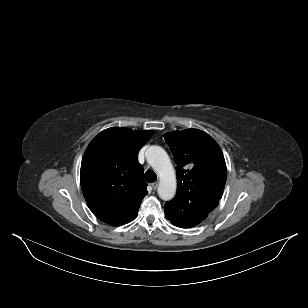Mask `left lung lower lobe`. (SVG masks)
<instances>
[{
    "instance_id": "obj_1",
    "label": "left lung lower lobe",
    "mask_w": 308,
    "mask_h": 308,
    "mask_svg": "<svg viewBox=\"0 0 308 308\" xmlns=\"http://www.w3.org/2000/svg\"><path fill=\"white\" fill-rule=\"evenodd\" d=\"M207 216H202V217H198L195 218L193 220L190 221H186V222H172L175 226L181 227V228H191L194 227L196 225H198L201 221H203Z\"/></svg>"
}]
</instances>
